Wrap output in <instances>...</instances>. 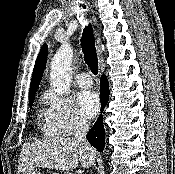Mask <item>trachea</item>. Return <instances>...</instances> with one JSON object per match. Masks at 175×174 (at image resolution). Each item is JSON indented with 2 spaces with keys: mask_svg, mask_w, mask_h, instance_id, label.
<instances>
[{
  "mask_svg": "<svg viewBox=\"0 0 175 174\" xmlns=\"http://www.w3.org/2000/svg\"><path fill=\"white\" fill-rule=\"evenodd\" d=\"M82 50L84 53V59L87 65L90 67L92 73L97 75L98 73V58L95 48V40L93 34V28L91 24L87 25L82 34Z\"/></svg>",
  "mask_w": 175,
  "mask_h": 174,
  "instance_id": "obj_1",
  "label": "trachea"
}]
</instances>
